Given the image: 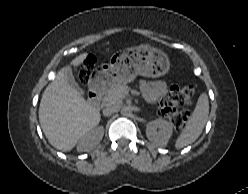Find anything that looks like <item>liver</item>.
I'll use <instances>...</instances> for the list:
<instances>
[{
    "label": "liver",
    "instance_id": "6515ba94",
    "mask_svg": "<svg viewBox=\"0 0 248 194\" xmlns=\"http://www.w3.org/2000/svg\"><path fill=\"white\" fill-rule=\"evenodd\" d=\"M88 53L77 56L71 64L79 66ZM62 68L43 92L39 122L49 143L58 150H72L79 139L100 122V112L68 83Z\"/></svg>",
    "mask_w": 248,
    "mask_h": 194
}]
</instances>
